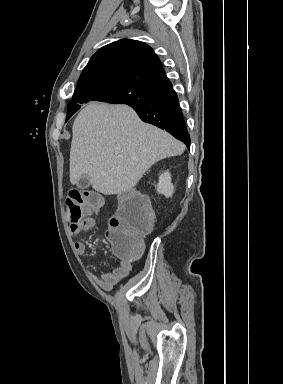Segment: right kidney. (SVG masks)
Returning a JSON list of instances; mask_svg holds the SVG:
<instances>
[{"label": "right kidney", "mask_w": 283, "mask_h": 384, "mask_svg": "<svg viewBox=\"0 0 283 384\" xmlns=\"http://www.w3.org/2000/svg\"><path fill=\"white\" fill-rule=\"evenodd\" d=\"M158 194H164L166 198H171L174 194V186L171 182V174L169 172H164L159 176V184L156 186Z\"/></svg>", "instance_id": "1"}]
</instances>
